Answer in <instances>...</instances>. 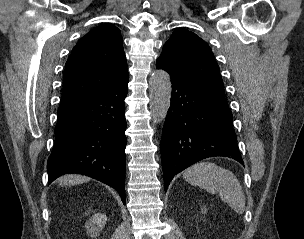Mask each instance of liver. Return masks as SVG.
<instances>
[{
  "label": "liver",
  "mask_w": 304,
  "mask_h": 239,
  "mask_svg": "<svg viewBox=\"0 0 304 239\" xmlns=\"http://www.w3.org/2000/svg\"><path fill=\"white\" fill-rule=\"evenodd\" d=\"M89 181V178L80 175H67L59 179V184L62 186H71Z\"/></svg>",
  "instance_id": "liver-1"
}]
</instances>
